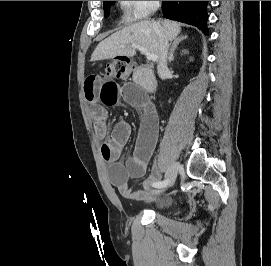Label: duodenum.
<instances>
[{
    "label": "duodenum",
    "instance_id": "duodenum-1",
    "mask_svg": "<svg viewBox=\"0 0 271 266\" xmlns=\"http://www.w3.org/2000/svg\"><path fill=\"white\" fill-rule=\"evenodd\" d=\"M135 83L145 91L152 93L156 91L157 81L152 70L146 66H138L133 75Z\"/></svg>",
    "mask_w": 271,
    "mask_h": 266
}]
</instances>
